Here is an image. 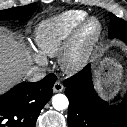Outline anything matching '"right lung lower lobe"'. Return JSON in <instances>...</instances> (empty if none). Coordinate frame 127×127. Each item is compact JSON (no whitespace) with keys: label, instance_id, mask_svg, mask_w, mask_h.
I'll return each instance as SVG.
<instances>
[{"label":"right lung lower lobe","instance_id":"obj_1","mask_svg":"<svg viewBox=\"0 0 127 127\" xmlns=\"http://www.w3.org/2000/svg\"><path fill=\"white\" fill-rule=\"evenodd\" d=\"M55 81L56 76L49 74L39 82L20 83L0 96V127H35Z\"/></svg>","mask_w":127,"mask_h":127}]
</instances>
